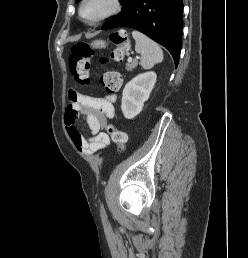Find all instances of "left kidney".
Instances as JSON below:
<instances>
[{
  "label": "left kidney",
  "instance_id": "1",
  "mask_svg": "<svg viewBox=\"0 0 248 258\" xmlns=\"http://www.w3.org/2000/svg\"><path fill=\"white\" fill-rule=\"evenodd\" d=\"M157 75L150 71L142 73L129 81L122 94L121 109L126 119H133L143 109L156 83Z\"/></svg>",
  "mask_w": 248,
  "mask_h": 258
}]
</instances>
